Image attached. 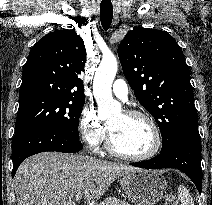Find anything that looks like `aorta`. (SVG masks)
<instances>
[{"label": "aorta", "instance_id": "1", "mask_svg": "<svg viewBox=\"0 0 212 205\" xmlns=\"http://www.w3.org/2000/svg\"><path fill=\"white\" fill-rule=\"evenodd\" d=\"M118 70L115 56L102 58L93 80V94L98 105L100 118L109 116L114 110L120 111L121 107L114 102L112 97V83Z\"/></svg>", "mask_w": 212, "mask_h": 205}]
</instances>
